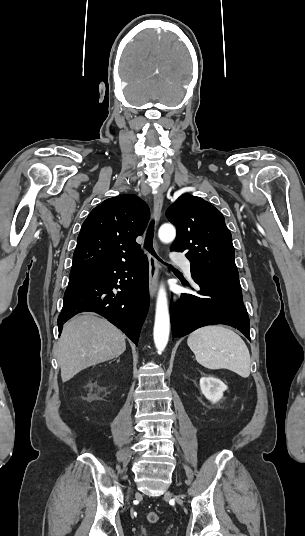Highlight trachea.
<instances>
[{"mask_svg": "<svg viewBox=\"0 0 305 536\" xmlns=\"http://www.w3.org/2000/svg\"><path fill=\"white\" fill-rule=\"evenodd\" d=\"M153 237H154V220H152L148 226L146 237H145V243L144 248L149 251L158 261H161V263H164L161 258H159L153 248ZM167 265V263H164ZM169 266V265H168Z\"/></svg>", "mask_w": 305, "mask_h": 536, "instance_id": "trachea-1", "label": "trachea"}]
</instances>
